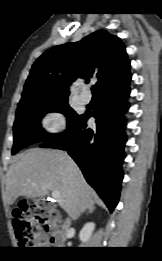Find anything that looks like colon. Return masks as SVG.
Wrapping results in <instances>:
<instances>
[{
  "mask_svg": "<svg viewBox=\"0 0 162 261\" xmlns=\"http://www.w3.org/2000/svg\"><path fill=\"white\" fill-rule=\"evenodd\" d=\"M59 218V212L46 199H29L18 206L13 212V227L19 245L27 249L47 246L49 238L41 226Z\"/></svg>",
  "mask_w": 162,
  "mask_h": 261,
  "instance_id": "colon-1",
  "label": "colon"
}]
</instances>
